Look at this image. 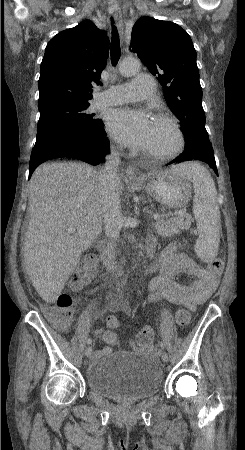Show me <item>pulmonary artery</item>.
Wrapping results in <instances>:
<instances>
[{"label": "pulmonary artery", "instance_id": "obj_1", "mask_svg": "<svg viewBox=\"0 0 245 450\" xmlns=\"http://www.w3.org/2000/svg\"><path fill=\"white\" fill-rule=\"evenodd\" d=\"M154 79L150 75H140L133 80L111 86L108 90L97 95V102L101 105H115L127 103L155 94Z\"/></svg>", "mask_w": 245, "mask_h": 450}]
</instances>
